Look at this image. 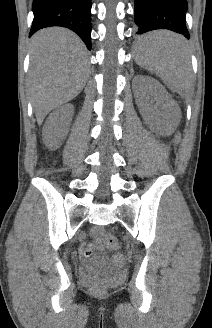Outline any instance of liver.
<instances>
[{"label": "liver", "instance_id": "1", "mask_svg": "<svg viewBox=\"0 0 212 328\" xmlns=\"http://www.w3.org/2000/svg\"><path fill=\"white\" fill-rule=\"evenodd\" d=\"M28 88L39 125L53 109L75 98L89 77L88 53L72 31L52 27L31 40Z\"/></svg>", "mask_w": 212, "mask_h": 328}]
</instances>
